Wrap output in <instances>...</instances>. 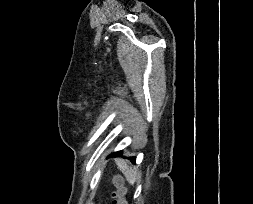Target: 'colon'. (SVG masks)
<instances>
[{
	"label": "colon",
	"instance_id": "obj_1",
	"mask_svg": "<svg viewBox=\"0 0 253 204\" xmlns=\"http://www.w3.org/2000/svg\"><path fill=\"white\" fill-rule=\"evenodd\" d=\"M113 182L116 186V190L111 194V204H127L124 198V191L121 187V180L115 177Z\"/></svg>",
	"mask_w": 253,
	"mask_h": 204
}]
</instances>
